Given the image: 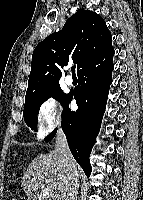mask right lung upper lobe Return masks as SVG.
<instances>
[{
  "instance_id": "cb5924a9",
  "label": "right lung upper lobe",
  "mask_w": 143,
  "mask_h": 200,
  "mask_svg": "<svg viewBox=\"0 0 143 200\" xmlns=\"http://www.w3.org/2000/svg\"><path fill=\"white\" fill-rule=\"evenodd\" d=\"M111 47L112 36L102 17L79 9L66 21L61 31L49 35L35 48L26 96L59 84L62 68L70 59L77 64L78 73L86 63Z\"/></svg>"
}]
</instances>
